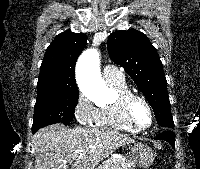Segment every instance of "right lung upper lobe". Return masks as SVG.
I'll return each mask as SVG.
<instances>
[{"label":"right lung upper lobe","instance_id":"cb5924a9","mask_svg":"<svg viewBox=\"0 0 200 169\" xmlns=\"http://www.w3.org/2000/svg\"><path fill=\"white\" fill-rule=\"evenodd\" d=\"M87 42L86 34L63 32L48 46L40 68L38 93L78 90L75 64Z\"/></svg>","mask_w":200,"mask_h":169}]
</instances>
